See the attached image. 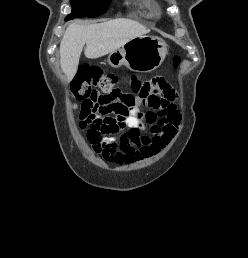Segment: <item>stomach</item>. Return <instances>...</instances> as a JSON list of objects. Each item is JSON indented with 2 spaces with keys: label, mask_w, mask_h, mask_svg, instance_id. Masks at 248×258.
I'll return each mask as SVG.
<instances>
[{
  "label": "stomach",
  "mask_w": 248,
  "mask_h": 258,
  "mask_svg": "<svg viewBox=\"0 0 248 258\" xmlns=\"http://www.w3.org/2000/svg\"><path fill=\"white\" fill-rule=\"evenodd\" d=\"M167 54V45L159 37L140 36L131 39L108 56V63L118 68L122 65L138 73L157 69Z\"/></svg>",
  "instance_id": "0dacf381"
}]
</instances>
